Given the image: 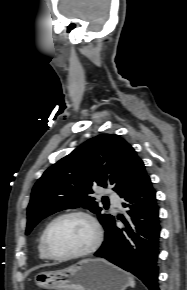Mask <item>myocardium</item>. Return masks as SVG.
Listing matches in <instances>:
<instances>
[{
	"label": "myocardium",
	"mask_w": 187,
	"mask_h": 290,
	"mask_svg": "<svg viewBox=\"0 0 187 290\" xmlns=\"http://www.w3.org/2000/svg\"><path fill=\"white\" fill-rule=\"evenodd\" d=\"M72 216L82 217L90 224L93 230V234H94L93 241L87 249L81 252L67 254V255H57L52 251L50 242H49L51 229L58 221L67 217H72ZM101 242H102V230H101L100 224L90 212L82 210V209H74V210L65 211L57 215L56 217H54L48 223L42 236V243H43V247L46 254L48 255L50 259L57 260V261H67V260L88 257L98 250V248L101 245Z\"/></svg>",
	"instance_id": "myocardium-1"
}]
</instances>
